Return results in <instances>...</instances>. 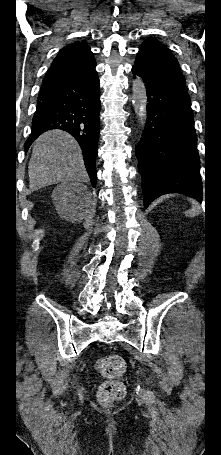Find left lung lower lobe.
Masks as SVG:
<instances>
[{"instance_id":"0a47b994","label":"left lung lower lobe","mask_w":221,"mask_h":455,"mask_svg":"<svg viewBox=\"0 0 221 455\" xmlns=\"http://www.w3.org/2000/svg\"><path fill=\"white\" fill-rule=\"evenodd\" d=\"M147 92V120L136 148L144 206L161 195L202 199L197 135L187 90L166 77L132 67Z\"/></svg>"}]
</instances>
